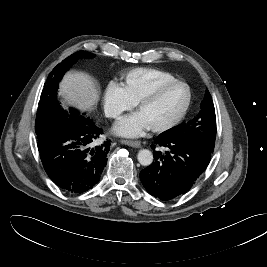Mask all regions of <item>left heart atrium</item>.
Wrapping results in <instances>:
<instances>
[{
  "label": "left heart atrium",
  "instance_id": "left-heart-atrium-1",
  "mask_svg": "<svg viewBox=\"0 0 267 267\" xmlns=\"http://www.w3.org/2000/svg\"><path fill=\"white\" fill-rule=\"evenodd\" d=\"M149 128L150 126L139 112L122 117L114 126L117 134L126 137H136Z\"/></svg>",
  "mask_w": 267,
  "mask_h": 267
}]
</instances>
